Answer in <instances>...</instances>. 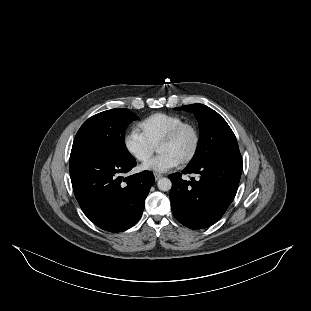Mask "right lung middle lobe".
I'll return each mask as SVG.
<instances>
[{"mask_svg":"<svg viewBox=\"0 0 311 311\" xmlns=\"http://www.w3.org/2000/svg\"><path fill=\"white\" fill-rule=\"evenodd\" d=\"M138 117L125 108L98 113L83 123L77 132L70 159L87 152H102L123 159L132 155L125 146L126 127Z\"/></svg>","mask_w":311,"mask_h":311,"instance_id":"dd1d6c3e","label":"right lung middle lobe"}]
</instances>
